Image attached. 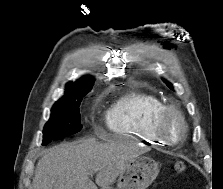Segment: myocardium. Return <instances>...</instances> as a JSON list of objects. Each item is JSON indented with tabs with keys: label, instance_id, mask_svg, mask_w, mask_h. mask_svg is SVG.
<instances>
[{
	"label": "myocardium",
	"instance_id": "f54148a6",
	"mask_svg": "<svg viewBox=\"0 0 223 189\" xmlns=\"http://www.w3.org/2000/svg\"><path fill=\"white\" fill-rule=\"evenodd\" d=\"M172 117L178 118L182 125V134L176 140L170 139L167 135V123ZM155 131L166 144L174 146L178 145L186 138L188 134V123L184 114L177 107L165 106L157 116L155 121Z\"/></svg>",
	"mask_w": 223,
	"mask_h": 189
}]
</instances>
